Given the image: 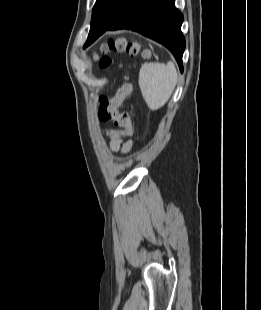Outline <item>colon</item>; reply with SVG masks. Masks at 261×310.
Listing matches in <instances>:
<instances>
[{
  "label": "colon",
  "mask_w": 261,
  "mask_h": 310,
  "mask_svg": "<svg viewBox=\"0 0 261 310\" xmlns=\"http://www.w3.org/2000/svg\"><path fill=\"white\" fill-rule=\"evenodd\" d=\"M102 50L126 52L131 56H135L141 52V46L137 41L128 40L126 38L111 39L105 43ZM145 57L150 56L148 50H143ZM111 60L104 57L101 60V67L110 65ZM133 86L125 77L123 83L118 88L115 95L111 98H102L98 108V118L102 122L113 121L116 129L110 131V135L115 138H129L132 135V123L130 115L127 112H120L119 108L123 102L132 94Z\"/></svg>",
  "instance_id": "obj_1"
}]
</instances>
